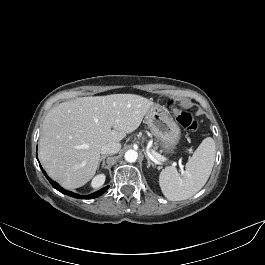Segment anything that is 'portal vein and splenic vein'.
Returning a JSON list of instances; mask_svg holds the SVG:
<instances>
[{"instance_id":"obj_1","label":"portal vein and splenic vein","mask_w":265,"mask_h":265,"mask_svg":"<svg viewBox=\"0 0 265 265\" xmlns=\"http://www.w3.org/2000/svg\"><path fill=\"white\" fill-rule=\"evenodd\" d=\"M151 153H152V155H153L155 158H157L158 160H162V161H164V158H163L160 154H158L157 152L152 151ZM179 166H180V170H181V172H184L183 165L180 164Z\"/></svg>"}]
</instances>
